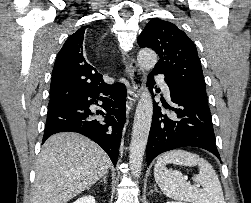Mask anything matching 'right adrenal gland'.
Segmentation results:
<instances>
[{"label":"right adrenal gland","instance_id":"2a0ac1e0","mask_svg":"<svg viewBox=\"0 0 251 203\" xmlns=\"http://www.w3.org/2000/svg\"><path fill=\"white\" fill-rule=\"evenodd\" d=\"M100 182L107 183V175H105V176L103 177V179H102Z\"/></svg>","mask_w":251,"mask_h":203}]
</instances>
